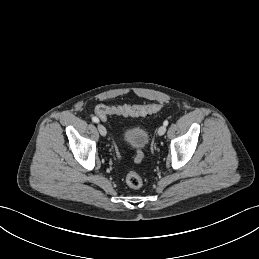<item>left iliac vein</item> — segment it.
Returning a JSON list of instances; mask_svg holds the SVG:
<instances>
[{
    "instance_id": "1",
    "label": "left iliac vein",
    "mask_w": 259,
    "mask_h": 259,
    "mask_svg": "<svg viewBox=\"0 0 259 259\" xmlns=\"http://www.w3.org/2000/svg\"><path fill=\"white\" fill-rule=\"evenodd\" d=\"M165 132H166V126L164 125L160 126L158 129V135L162 136L165 134Z\"/></svg>"
}]
</instances>
